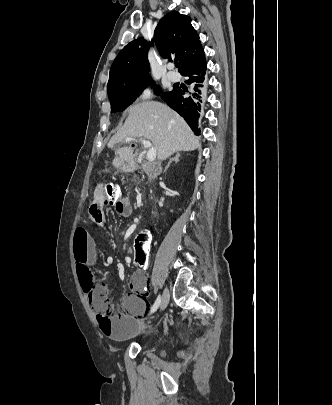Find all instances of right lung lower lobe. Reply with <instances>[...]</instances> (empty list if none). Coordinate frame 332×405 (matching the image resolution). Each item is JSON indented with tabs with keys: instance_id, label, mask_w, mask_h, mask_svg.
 Returning <instances> with one entry per match:
<instances>
[{
	"instance_id": "obj_1",
	"label": "right lung lower lobe",
	"mask_w": 332,
	"mask_h": 405,
	"mask_svg": "<svg viewBox=\"0 0 332 405\" xmlns=\"http://www.w3.org/2000/svg\"><path fill=\"white\" fill-rule=\"evenodd\" d=\"M206 60L203 58L200 62L188 67L181 74L188 78L187 83L192 85L191 96L184 97L188 91L184 87H174L170 92L162 96V99L175 111H177L189 124L196 135L200 134L198 129L199 112L203 106V95L206 89Z\"/></svg>"
}]
</instances>
